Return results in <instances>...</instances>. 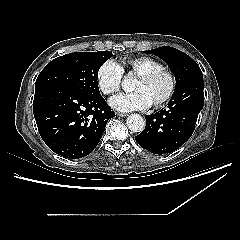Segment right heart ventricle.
<instances>
[{"label": "right heart ventricle", "instance_id": "1", "mask_svg": "<svg viewBox=\"0 0 240 240\" xmlns=\"http://www.w3.org/2000/svg\"><path fill=\"white\" fill-rule=\"evenodd\" d=\"M121 68L129 73L140 74L144 71L159 68L155 61L147 57L124 58L120 60Z\"/></svg>", "mask_w": 240, "mask_h": 240}]
</instances>
